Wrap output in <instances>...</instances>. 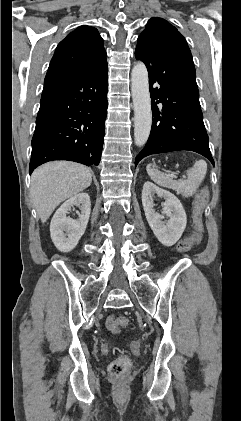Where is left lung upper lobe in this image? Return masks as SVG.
I'll use <instances>...</instances> for the list:
<instances>
[{
    "instance_id": "5c2ea615",
    "label": "left lung upper lobe",
    "mask_w": 241,
    "mask_h": 421,
    "mask_svg": "<svg viewBox=\"0 0 241 421\" xmlns=\"http://www.w3.org/2000/svg\"><path fill=\"white\" fill-rule=\"evenodd\" d=\"M139 37L147 38L158 44L181 47L190 52L183 35L168 21L159 17L151 18Z\"/></svg>"
}]
</instances>
